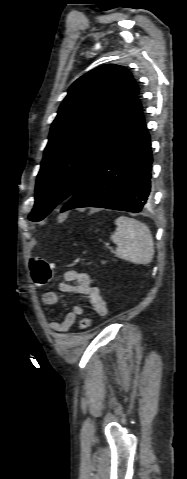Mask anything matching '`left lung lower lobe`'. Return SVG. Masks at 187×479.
I'll return each mask as SVG.
<instances>
[{"instance_id":"1","label":"left lung lower lobe","mask_w":187,"mask_h":479,"mask_svg":"<svg viewBox=\"0 0 187 479\" xmlns=\"http://www.w3.org/2000/svg\"><path fill=\"white\" fill-rule=\"evenodd\" d=\"M152 152L137 96L114 144L88 172L62 212L81 207L140 212L151 192Z\"/></svg>"}]
</instances>
